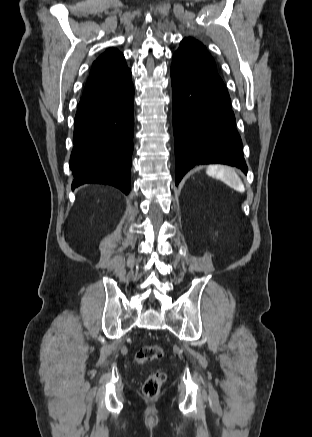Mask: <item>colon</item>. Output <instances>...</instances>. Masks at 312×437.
I'll return each mask as SVG.
<instances>
[{
	"label": "colon",
	"instance_id": "5ec220e1",
	"mask_svg": "<svg viewBox=\"0 0 312 437\" xmlns=\"http://www.w3.org/2000/svg\"><path fill=\"white\" fill-rule=\"evenodd\" d=\"M163 357V350L160 346L149 344L138 349L136 353V361L139 364L160 360ZM166 380V374L162 371H157L150 374L143 384V393L146 397H156Z\"/></svg>",
	"mask_w": 312,
	"mask_h": 437
}]
</instances>
